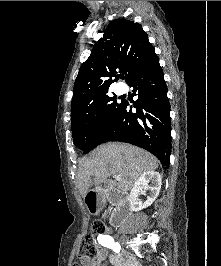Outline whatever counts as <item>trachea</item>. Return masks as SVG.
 I'll return each mask as SVG.
<instances>
[{"instance_id": "1", "label": "trachea", "mask_w": 221, "mask_h": 266, "mask_svg": "<svg viewBox=\"0 0 221 266\" xmlns=\"http://www.w3.org/2000/svg\"><path fill=\"white\" fill-rule=\"evenodd\" d=\"M121 79H124V76H120Z\"/></svg>"}]
</instances>
